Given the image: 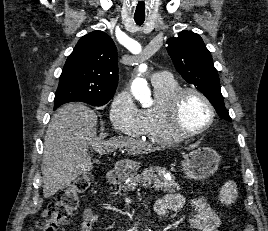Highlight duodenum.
<instances>
[{
	"mask_svg": "<svg viewBox=\"0 0 268 231\" xmlns=\"http://www.w3.org/2000/svg\"><path fill=\"white\" fill-rule=\"evenodd\" d=\"M120 180V174L117 169L111 170L106 176V183L107 184H114Z\"/></svg>",
	"mask_w": 268,
	"mask_h": 231,
	"instance_id": "1",
	"label": "duodenum"
}]
</instances>
